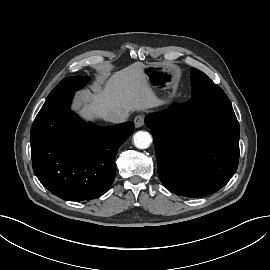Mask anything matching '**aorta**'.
Wrapping results in <instances>:
<instances>
[{
  "label": "aorta",
  "mask_w": 270,
  "mask_h": 270,
  "mask_svg": "<svg viewBox=\"0 0 270 270\" xmlns=\"http://www.w3.org/2000/svg\"><path fill=\"white\" fill-rule=\"evenodd\" d=\"M134 145L139 149H146L152 142L151 135L146 131H138L133 136Z\"/></svg>",
  "instance_id": "1"
}]
</instances>
